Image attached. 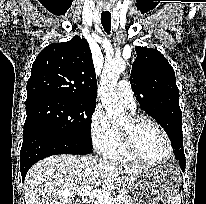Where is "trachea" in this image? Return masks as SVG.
<instances>
[{
	"mask_svg": "<svg viewBox=\"0 0 206 204\" xmlns=\"http://www.w3.org/2000/svg\"><path fill=\"white\" fill-rule=\"evenodd\" d=\"M101 23L105 31L110 34L111 31V14L109 12L101 13Z\"/></svg>",
	"mask_w": 206,
	"mask_h": 204,
	"instance_id": "trachea-1",
	"label": "trachea"
}]
</instances>
